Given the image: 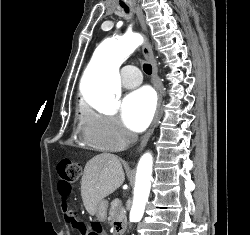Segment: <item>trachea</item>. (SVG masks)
Returning <instances> with one entry per match:
<instances>
[{"label":"trachea","instance_id":"1","mask_svg":"<svg viewBox=\"0 0 250 235\" xmlns=\"http://www.w3.org/2000/svg\"><path fill=\"white\" fill-rule=\"evenodd\" d=\"M122 7L126 13L129 12V8L127 6H122ZM143 69H144V72L147 73L148 75L152 73V66L148 63L143 65Z\"/></svg>","mask_w":250,"mask_h":235}]
</instances>
